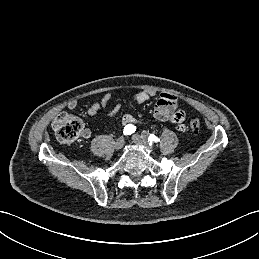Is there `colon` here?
I'll use <instances>...</instances> for the list:
<instances>
[{"label":"colon","instance_id":"colon-1","mask_svg":"<svg viewBox=\"0 0 259 259\" xmlns=\"http://www.w3.org/2000/svg\"><path fill=\"white\" fill-rule=\"evenodd\" d=\"M189 126L193 133H197L201 127L200 120L192 119ZM53 129L61 143L71 144L78 139L82 131V122L73 115L63 113L54 120Z\"/></svg>","mask_w":259,"mask_h":259}]
</instances>
